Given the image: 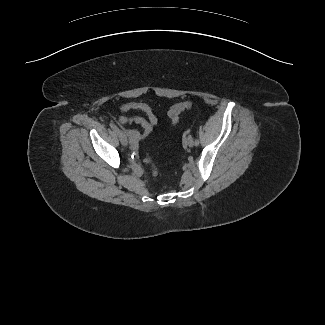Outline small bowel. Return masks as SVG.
Masks as SVG:
<instances>
[{
  "mask_svg": "<svg viewBox=\"0 0 325 325\" xmlns=\"http://www.w3.org/2000/svg\"><path fill=\"white\" fill-rule=\"evenodd\" d=\"M130 110H140L147 115V119L139 116H123L118 118V122L122 124H138L142 127V131L134 129H126L125 133L131 140L132 146L137 148L139 142L146 138L153 130L157 123V117L151 107L144 102H127L120 106V111L126 112Z\"/></svg>",
  "mask_w": 325,
  "mask_h": 325,
  "instance_id": "small-bowel-1",
  "label": "small bowel"
}]
</instances>
